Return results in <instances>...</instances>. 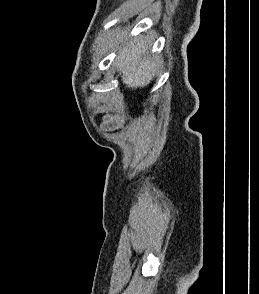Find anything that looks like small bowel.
<instances>
[{
  "label": "small bowel",
  "mask_w": 259,
  "mask_h": 294,
  "mask_svg": "<svg viewBox=\"0 0 259 294\" xmlns=\"http://www.w3.org/2000/svg\"><path fill=\"white\" fill-rule=\"evenodd\" d=\"M123 119L117 115H107L101 122V128L105 131L119 130L123 126Z\"/></svg>",
  "instance_id": "obj_1"
}]
</instances>
